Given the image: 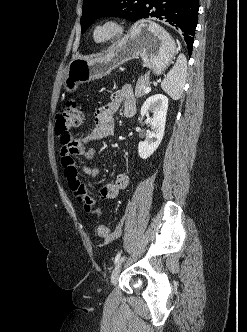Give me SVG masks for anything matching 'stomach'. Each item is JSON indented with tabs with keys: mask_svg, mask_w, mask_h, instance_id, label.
<instances>
[{
	"mask_svg": "<svg viewBox=\"0 0 247 332\" xmlns=\"http://www.w3.org/2000/svg\"><path fill=\"white\" fill-rule=\"evenodd\" d=\"M175 55L176 45L172 37L155 22L141 20L105 55L72 59L66 70L64 89L73 93L79 85L100 79L123 63L139 57L144 66L160 75L172 63Z\"/></svg>",
	"mask_w": 247,
	"mask_h": 332,
	"instance_id": "0dacf381",
	"label": "stomach"
}]
</instances>
